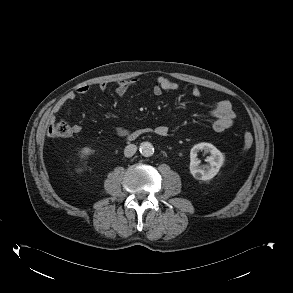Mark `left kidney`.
<instances>
[{"instance_id": "5707ae66", "label": "left kidney", "mask_w": 293, "mask_h": 293, "mask_svg": "<svg viewBox=\"0 0 293 293\" xmlns=\"http://www.w3.org/2000/svg\"><path fill=\"white\" fill-rule=\"evenodd\" d=\"M204 150L211 155L207 158L208 165L199 166L200 160L197 158V153ZM224 163L223 154L210 143H198L194 145L190 151V173L195 179L207 181L212 179L219 172Z\"/></svg>"}]
</instances>
